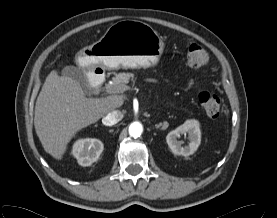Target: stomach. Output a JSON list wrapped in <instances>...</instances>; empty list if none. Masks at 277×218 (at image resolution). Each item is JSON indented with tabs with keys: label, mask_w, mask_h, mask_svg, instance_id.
Segmentation results:
<instances>
[{
	"label": "stomach",
	"mask_w": 277,
	"mask_h": 218,
	"mask_svg": "<svg viewBox=\"0 0 277 218\" xmlns=\"http://www.w3.org/2000/svg\"><path fill=\"white\" fill-rule=\"evenodd\" d=\"M164 50L161 36L138 20L111 25L99 41L81 49L76 63L85 69L147 68L158 63Z\"/></svg>",
	"instance_id": "0dacf381"
}]
</instances>
